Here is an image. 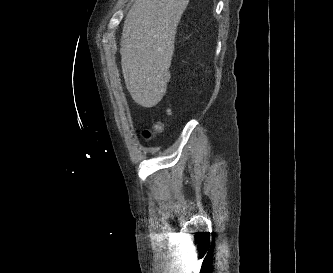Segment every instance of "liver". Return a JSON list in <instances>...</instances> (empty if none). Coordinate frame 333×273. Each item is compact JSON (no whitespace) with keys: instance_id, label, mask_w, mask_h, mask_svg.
I'll return each mask as SVG.
<instances>
[{"instance_id":"6515ba94","label":"liver","mask_w":333,"mask_h":273,"mask_svg":"<svg viewBox=\"0 0 333 273\" xmlns=\"http://www.w3.org/2000/svg\"><path fill=\"white\" fill-rule=\"evenodd\" d=\"M189 0H135L121 37V64L133 100L146 108L166 93L177 25Z\"/></svg>"}]
</instances>
